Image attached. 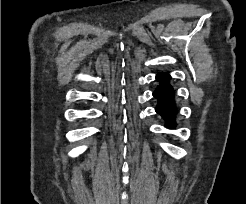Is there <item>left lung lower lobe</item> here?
Wrapping results in <instances>:
<instances>
[{"label":"left lung lower lobe","mask_w":246,"mask_h":204,"mask_svg":"<svg viewBox=\"0 0 246 204\" xmlns=\"http://www.w3.org/2000/svg\"><path fill=\"white\" fill-rule=\"evenodd\" d=\"M157 80L160 81V85L157 87L153 96L158 99V105L156 112L167 119V127H174V118L176 115V107L173 101L174 90L169 84L170 76L165 73L157 75Z\"/></svg>","instance_id":"1"}]
</instances>
